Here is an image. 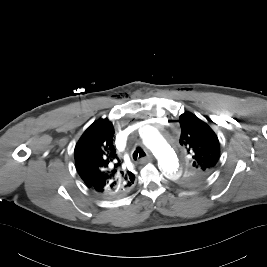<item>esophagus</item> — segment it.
Instances as JSON below:
<instances>
[{
  "label": "esophagus",
  "mask_w": 267,
  "mask_h": 267,
  "mask_svg": "<svg viewBox=\"0 0 267 267\" xmlns=\"http://www.w3.org/2000/svg\"><path fill=\"white\" fill-rule=\"evenodd\" d=\"M151 160L152 158L150 156H147V157L140 159V163H147V162H150Z\"/></svg>",
  "instance_id": "obj_1"
}]
</instances>
